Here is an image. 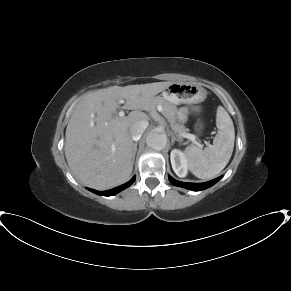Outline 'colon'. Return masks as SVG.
Segmentation results:
<instances>
[{
	"label": "colon",
	"mask_w": 291,
	"mask_h": 291,
	"mask_svg": "<svg viewBox=\"0 0 291 291\" xmlns=\"http://www.w3.org/2000/svg\"><path fill=\"white\" fill-rule=\"evenodd\" d=\"M205 125L204 122L202 120L197 121L196 123V132L198 134H202L204 131Z\"/></svg>",
	"instance_id": "obj_1"
}]
</instances>
